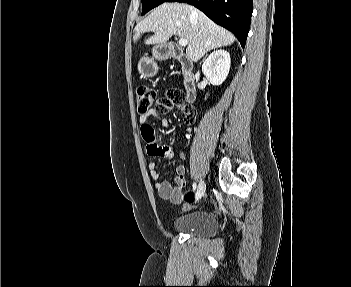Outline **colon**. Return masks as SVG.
<instances>
[{
    "instance_id": "obj_1",
    "label": "colon",
    "mask_w": 351,
    "mask_h": 287,
    "mask_svg": "<svg viewBox=\"0 0 351 287\" xmlns=\"http://www.w3.org/2000/svg\"><path fill=\"white\" fill-rule=\"evenodd\" d=\"M135 98L137 109L140 113H145L154 106L158 114H166L172 107L176 106L184 111V120L187 124H192L194 122L195 116H187L190 113H194V111L186 106L185 94L179 89H169L165 98L156 100V91L153 88L140 86L136 89ZM192 198L193 196L191 193L185 195L186 202H190Z\"/></svg>"
}]
</instances>
